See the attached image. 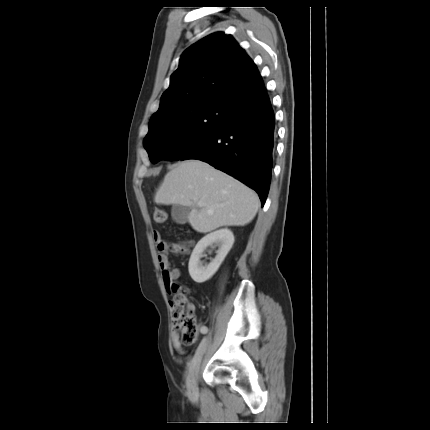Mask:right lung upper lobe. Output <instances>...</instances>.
I'll return each mask as SVG.
<instances>
[{"mask_svg": "<svg viewBox=\"0 0 430 430\" xmlns=\"http://www.w3.org/2000/svg\"><path fill=\"white\" fill-rule=\"evenodd\" d=\"M261 82L255 63L231 35L211 34L183 53L149 125L207 103L234 106Z\"/></svg>", "mask_w": 430, "mask_h": 430, "instance_id": "1", "label": "right lung upper lobe"}]
</instances>
